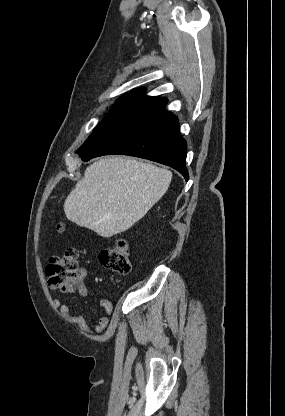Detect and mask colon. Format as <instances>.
<instances>
[{"mask_svg": "<svg viewBox=\"0 0 285 416\" xmlns=\"http://www.w3.org/2000/svg\"><path fill=\"white\" fill-rule=\"evenodd\" d=\"M59 231L63 225L57 226ZM79 252L75 248H68L60 256L50 259L46 268L49 276V284L63 291H71L77 288L81 281V270L78 264ZM99 260L106 268L121 275L129 274L131 270L130 246L124 239H118L112 246L102 249Z\"/></svg>", "mask_w": 285, "mask_h": 416, "instance_id": "1", "label": "colon"}]
</instances>
